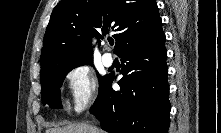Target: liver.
<instances>
[{
  "mask_svg": "<svg viewBox=\"0 0 221 133\" xmlns=\"http://www.w3.org/2000/svg\"><path fill=\"white\" fill-rule=\"evenodd\" d=\"M45 133H102V131L86 123H76L64 127L50 128Z\"/></svg>",
  "mask_w": 221,
  "mask_h": 133,
  "instance_id": "1",
  "label": "liver"
}]
</instances>
